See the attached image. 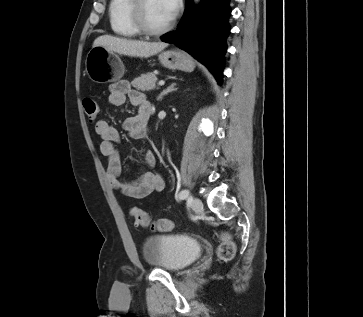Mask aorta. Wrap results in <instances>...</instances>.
<instances>
[{
    "label": "aorta",
    "instance_id": "1",
    "mask_svg": "<svg viewBox=\"0 0 363 317\" xmlns=\"http://www.w3.org/2000/svg\"><path fill=\"white\" fill-rule=\"evenodd\" d=\"M194 2H195V3H198V2H200V0H194Z\"/></svg>",
    "mask_w": 363,
    "mask_h": 317
}]
</instances>
